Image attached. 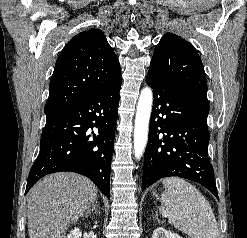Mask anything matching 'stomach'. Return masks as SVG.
Listing matches in <instances>:
<instances>
[{"label": "stomach", "mask_w": 247, "mask_h": 238, "mask_svg": "<svg viewBox=\"0 0 247 238\" xmlns=\"http://www.w3.org/2000/svg\"><path fill=\"white\" fill-rule=\"evenodd\" d=\"M153 195H154V196H157V192H156V191H153Z\"/></svg>", "instance_id": "1"}]
</instances>
